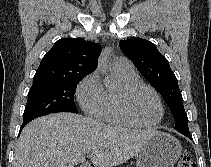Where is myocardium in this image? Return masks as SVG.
<instances>
[{
	"label": "myocardium",
	"mask_w": 211,
	"mask_h": 167,
	"mask_svg": "<svg viewBox=\"0 0 211 167\" xmlns=\"http://www.w3.org/2000/svg\"><path fill=\"white\" fill-rule=\"evenodd\" d=\"M141 89H146L150 91L156 98L159 107H160V117L159 119L151 124H146L141 121H139L134 114L131 112L130 107H129V98L131 97L132 94L137 92L138 90ZM116 101H117V106L120 111V113L131 123H133L136 126L139 127H144V128H154L157 127L164 118L165 115V108L162 102V99L159 95V93L150 85L145 84L143 82H136L128 85L122 86V88L117 92L116 95Z\"/></svg>",
	"instance_id": "myocardium-1"
}]
</instances>
